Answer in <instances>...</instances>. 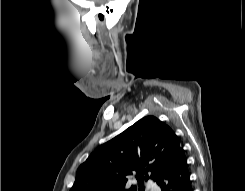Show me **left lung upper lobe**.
I'll return each instance as SVG.
<instances>
[{"instance_id": "obj_1", "label": "left lung upper lobe", "mask_w": 245, "mask_h": 191, "mask_svg": "<svg viewBox=\"0 0 245 191\" xmlns=\"http://www.w3.org/2000/svg\"><path fill=\"white\" fill-rule=\"evenodd\" d=\"M181 150V142L168 125L154 116L143 117L81 164L70 191H143L144 179L156 181ZM134 173L139 189H128Z\"/></svg>"}]
</instances>
